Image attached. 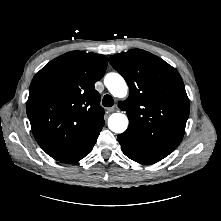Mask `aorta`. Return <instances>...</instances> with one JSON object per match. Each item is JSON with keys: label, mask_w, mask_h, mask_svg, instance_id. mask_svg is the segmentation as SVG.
Masks as SVG:
<instances>
[{"label": "aorta", "mask_w": 221, "mask_h": 221, "mask_svg": "<svg viewBox=\"0 0 221 221\" xmlns=\"http://www.w3.org/2000/svg\"><path fill=\"white\" fill-rule=\"evenodd\" d=\"M104 84L114 97H126L128 87L124 78L120 74L108 73L104 78ZM108 127L114 133H123L128 127L127 116L122 113L111 114L108 119Z\"/></svg>", "instance_id": "1"}]
</instances>
